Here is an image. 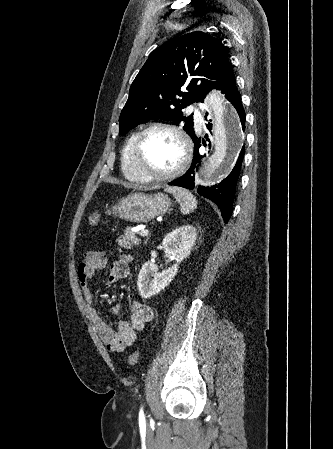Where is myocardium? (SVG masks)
I'll return each mask as SVG.
<instances>
[{"label": "myocardium", "instance_id": "f54148a6", "mask_svg": "<svg viewBox=\"0 0 333 449\" xmlns=\"http://www.w3.org/2000/svg\"><path fill=\"white\" fill-rule=\"evenodd\" d=\"M154 130H163L175 136L182 147V159L180 163L170 172L165 174H150L141 166V150L145 137ZM192 158V145L187 135L178 127L168 123L154 122L142 129L135 140L133 148V163L139 176L145 182H166L180 176L189 166Z\"/></svg>", "mask_w": 333, "mask_h": 449}]
</instances>
